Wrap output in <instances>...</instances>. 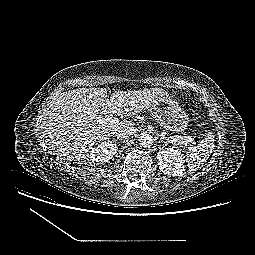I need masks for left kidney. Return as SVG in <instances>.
<instances>
[{"label": "left kidney", "instance_id": "obj_1", "mask_svg": "<svg viewBox=\"0 0 255 255\" xmlns=\"http://www.w3.org/2000/svg\"><path fill=\"white\" fill-rule=\"evenodd\" d=\"M159 169L167 175L179 176L185 172L184 156L179 150L165 148L157 153Z\"/></svg>", "mask_w": 255, "mask_h": 255}]
</instances>
